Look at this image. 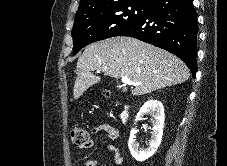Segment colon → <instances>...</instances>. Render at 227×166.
Masks as SVG:
<instances>
[{
	"label": "colon",
	"instance_id": "colon-1",
	"mask_svg": "<svg viewBox=\"0 0 227 166\" xmlns=\"http://www.w3.org/2000/svg\"><path fill=\"white\" fill-rule=\"evenodd\" d=\"M70 139L75 146H89L92 141L89 132L79 125L71 127Z\"/></svg>",
	"mask_w": 227,
	"mask_h": 166
}]
</instances>
